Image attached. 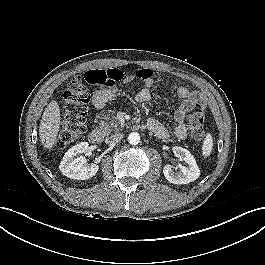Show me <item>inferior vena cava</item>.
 <instances>
[{"mask_svg": "<svg viewBox=\"0 0 265 265\" xmlns=\"http://www.w3.org/2000/svg\"><path fill=\"white\" fill-rule=\"evenodd\" d=\"M122 139H123V135L119 133V134L111 135L110 137L106 138L105 142L110 145H115L119 143Z\"/></svg>", "mask_w": 265, "mask_h": 265, "instance_id": "602c4592", "label": "inferior vena cava"}]
</instances>
